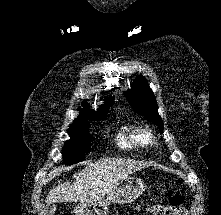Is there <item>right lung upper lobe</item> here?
<instances>
[{
	"instance_id": "right-lung-upper-lobe-1",
	"label": "right lung upper lobe",
	"mask_w": 221,
	"mask_h": 215,
	"mask_svg": "<svg viewBox=\"0 0 221 215\" xmlns=\"http://www.w3.org/2000/svg\"><path fill=\"white\" fill-rule=\"evenodd\" d=\"M113 97L106 98L103 105L100 106V108L95 111H90L88 108H86L85 105H83L84 109H80L81 114L85 116L86 118H89L91 120H98V119H104L105 114L108 112L109 107L113 105L114 101H112ZM78 119H82L79 117Z\"/></svg>"
}]
</instances>
